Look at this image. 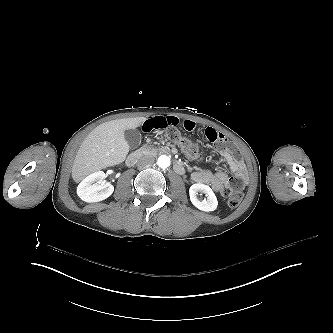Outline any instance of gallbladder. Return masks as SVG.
I'll return each mask as SVG.
<instances>
[{"instance_id": "1", "label": "gallbladder", "mask_w": 333, "mask_h": 333, "mask_svg": "<svg viewBox=\"0 0 333 333\" xmlns=\"http://www.w3.org/2000/svg\"><path fill=\"white\" fill-rule=\"evenodd\" d=\"M124 137L131 149H136L141 143V133L136 129L126 130Z\"/></svg>"}]
</instances>
